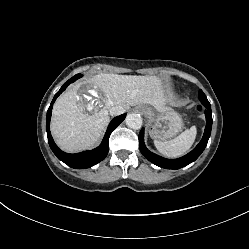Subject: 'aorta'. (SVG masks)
I'll return each mask as SVG.
<instances>
[{
    "instance_id": "762f6f07",
    "label": "aorta",
    "mask_w": 249,
    "mask_h": 249,
    "mask_svg": "<svg viewBox=\"0 0 249 249\" xmlns=\"http://www.w3.org/2000/svg\"><path fill=\"white\" fill-rule=\"evenodd\" d=\"M126 125L132 129H140L143 124V120L139 114L130 113L125 119Z\"/></svg>"
}]
</instances>
